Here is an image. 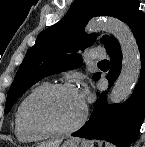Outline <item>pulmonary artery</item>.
Segmentation results:
<instances>
[{
	"instance_id": "1",
	"label": "pulmonary artery",
	"mask_w": 145,
	"mask_h": 147,
	"mask_svg": "<svg viewBox=\"0 0 145 147\" xmlns=\"http://www.w3.org/2000/svg\"><path fill=\"white\" fill-rule=\"evenodd\" d=\"M90 57L93 60H100L106 57V52L102 49L96 48L90 52Z\"/></svg>"
}]
</instances>
